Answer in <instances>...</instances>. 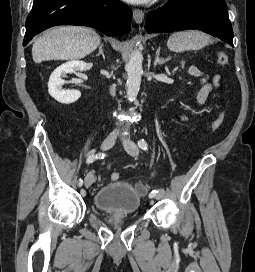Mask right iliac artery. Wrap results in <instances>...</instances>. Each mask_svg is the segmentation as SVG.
I'll list each match as a JSON object with an SVG mask.
<instances>
[{"label": "right iliac artery", "mask_w": 255, "mask_h": 272, "mask_svg": "<svg viewBox=\"0 0 255 272\" xmlns=\"http://www.w3.org/2000/svg\"><path fill=\"white\" fill-rule=\"evenodd\" d=\"M105 157V154L104 153H97V154H90L86 160V163L89 164V163H92L93 161L97 160V159H103ZM83 184V180L82 179H79L78 181V186L81 187Z\"/></svg>", "instance_id": "1"}]
</instances>
